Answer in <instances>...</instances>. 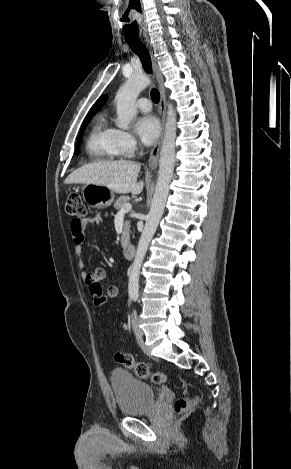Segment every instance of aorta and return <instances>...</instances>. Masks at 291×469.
Returning <instances> with one entry per match:
<instances>
[{
    "instance_id": "obj_1",
    "label": "aorta",
    "mask_w": 291,
    "mask_h": 469,
    "mask_svg": "<svg viewBox=\"0 0 291 469\" xmlns=\"http://www.w3.org/2000/svg\"><path fill=\"white\" fill-rule=\"evenodd\" d=\"M150 79L144 75H133L118 90L115 100L118 118L116 126L126 130L136 116V100L140 92L150 85ZM176 114L169 104L165 124L164 139L160 151L159 171L150 211L146 218L135 258L131 267L128 283L130 295L139 291V274L150 241L155 234L159 221L164 213L169 184L175 163Z\"/></svg>"
}]
</instances>
